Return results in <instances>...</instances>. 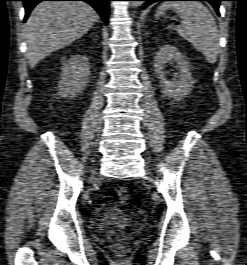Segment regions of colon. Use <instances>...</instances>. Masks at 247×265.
<instances>
[{"label": "colon", "mask_w": 247, "mask_h": 265, "mask_svg": "<svg viewBox=\"0 0 247 265\" xmlns=\"http://www.w3.org/2000/svg\"><path fill=\"white\" fill-rule=\"evenodd\" d=\"M117 197H118L120 202H122V203L127 202L128 199H129L128 190L125 187H123V186H119L117 188Z\"/></svg>", "instance_id": "obj_1"}]
</instances>
